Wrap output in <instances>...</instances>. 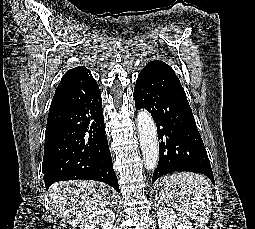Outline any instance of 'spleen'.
I'll use <instances>...</instances> for the list:
<instances>
[{
  "label": "spleen",
  "instance_id": "obj_1",
  "mask_svg": "<svg viewBox=\"0 0 255 229\" xmlns=\"http://www.w3.org/2000/svg\"><path fill=\"white\" fill-rule=\"evenodd\" d=\"M165 178L175 180L181 189L160 187L159 195L164 202L198 223L208 222L212 210V188L208 180L193 172H179L162 179Z\"/></svg>",
  "mask_w": 255,
  "mask_h": 229
}]
</instances>
